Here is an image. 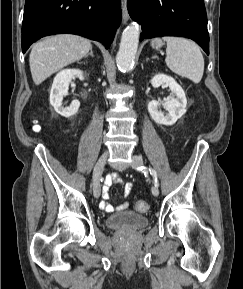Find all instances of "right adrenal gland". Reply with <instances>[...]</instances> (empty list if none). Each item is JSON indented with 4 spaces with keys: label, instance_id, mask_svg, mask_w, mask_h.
Segmentation results:
<instances>
[{
    "label": "right adrenal gland",
    "instance_id": "right-adrenal-gland-1",
    "mask_svg": "<svg viewBox=\"0 0 243 289\" xmlns=\"http://www.w3.org/2000/svg\"><path fill=\"white\" fill-rule=\"evenodd\" d=\"M88 55H90L91 57H94L92 48L90 49V53H88L85 57H88Z\"/></svg>",
    "mask_w": 243,
    "mask_h": 289
}]
</instances>
